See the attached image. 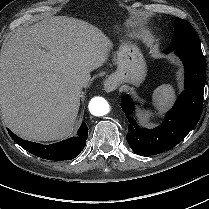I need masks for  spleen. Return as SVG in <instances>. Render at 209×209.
<instances>
[{"label": "spleen", "mask_w": 209, "mask_h": 209, "mask_svg": "<svg viewBox=\"0 0 209 209\" xmlns=\"http://www.w3.org/2000/svg\"><path fill=\"white\" fill-rule=\"evenodd\" d=\"M176 96L174 87L171 84H162L152 93V100L160 108V115L163 109L171 106Z\"/></svg>", "instance_id": "spleen-1"}]
</instances>
